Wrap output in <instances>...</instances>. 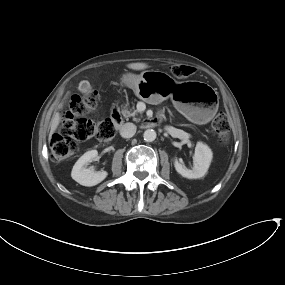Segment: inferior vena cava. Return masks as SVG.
Masks as SVG:
<instances>
[{
    "label": "inferior vena cava",
    "mask_w": 285,
    "mask_h": 285,
    "mask_svg": "<svg viewBox=\"0 0 285 285\" xmlns=\"http://www.w3.org/2000/svg\"><path fill=\"white\" fill-rule=\"evenodd\" d=\"M136 125L133 123H125L124 125H122L121 129H120V135L123 138H131L135 135L136 133Z\"/></svg>",
    "instance_id": "1"
}]
</instances>
